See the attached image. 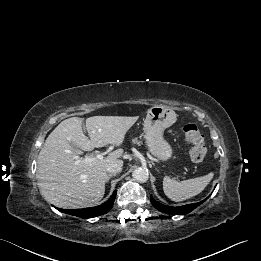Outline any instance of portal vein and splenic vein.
<instances>
[{"label":"portal vein and splenic vein","mask_w":261,"mask_h":261,"mask_svg":"<svg viewBox=\"0 0 261 261\" xmlns=\"http://www.w3.org/2000/svg\"><path fill=\"white\" fill-rule=\"evenodd\" d=\"M97 159H103V153H98L97 156H96ZM93 159L92 158H89V157H85L83 160H77V163L78 162H91Z\"/></svg>","instance_id":"1"}]
</instances>
